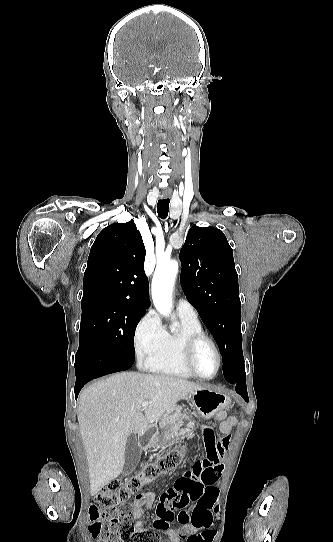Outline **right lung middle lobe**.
<instances>
[{"label": "right lung middle lobe", "instance_id": "right-lung-middle-lobe-1", "mask_svg": "<svg viewBox=\"0 0 333 542\" xmlns=\"http://www.w3.org/2000/svg\"><path fill=\"white\" fill-rule=\"evenodd\" d=\"M144 310L118 304L93 303L82 306L80 343L94 339L116 356L134 362V335Z\"/></svg>", "mask_w": 333, "mask_h": 542}]
</instances>
